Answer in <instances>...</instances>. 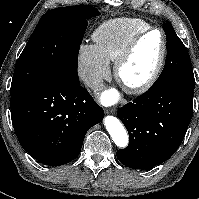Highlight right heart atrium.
<instances>
[{
	"label": "right heart atrium",
	"instance_id": "1",
	"mask_svg": "<svg viewBox=\"0 0 199 199\" xmlns=\"http://www.w3.org/2000/svg\"><path fill=\"white\" fill-rule=\"evenodd\" d=\"M110 74L109 62L94 44H81L78 51V75L93 90L101 87Z\"/></svg>",
	"mask_w": 199,
	"mask_h": 199
}]
</instances>
